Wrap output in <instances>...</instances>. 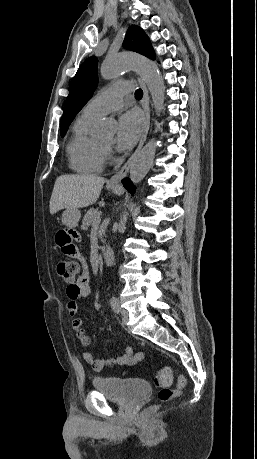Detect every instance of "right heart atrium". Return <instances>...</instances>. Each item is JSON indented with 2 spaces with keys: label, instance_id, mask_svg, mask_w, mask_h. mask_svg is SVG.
<instances>
[{
  "label": "right heart atrium",
  "instance_id": "obj_1",
  "mask_svg": "<svg viewBox=\"0 0 257 459\" xmlns=\"http://www.w3.org/2000/svg\"><path fill=\"white\" fill-rule=\"evenodd\" d=\"M109 154H110V151L108 149L105 150V156H109Z\"/></svg>",
  "mask_w": 257,
  "mask_h": 459
}]
</instances>
